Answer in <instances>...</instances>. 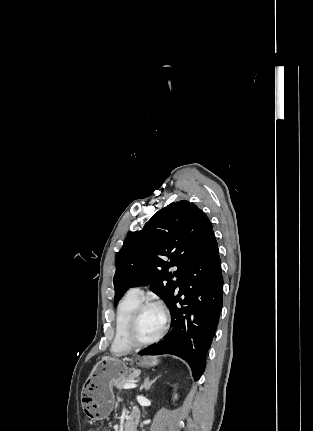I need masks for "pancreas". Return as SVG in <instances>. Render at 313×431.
Listing matches in <instances>:
<instances>
[{"mask_svg": "<svg viewBox=\"0 0 313 431\" xmlns=\"http://www.w3.org/2000/svg\"><path fill=\"white\" fill-rule=\"evenodd\" d=\"M138 373L139 372H137V371H134L131 375H129V376H127V377H122V378H120V379H118L116 382H115V386H116V388H118V389H123V385L124 384H126V383H130V382H134V379L138 376Z\"/></svg>", "mask_w": 313, "mask_h": 431, "instance_id": "pancreas-1", "label": "pancreas"}]
</instances>
